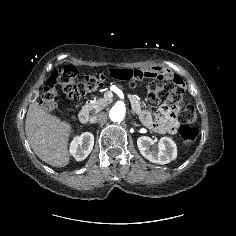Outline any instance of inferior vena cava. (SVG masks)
Returning <instances> with one entry per match:
<instances>
[{"mask_svg": "<svg viewBox=\"0 0 236 236\" xmlns=\"http://www.w3.org/2000/svg\"><path fill=\"white\" fill-rule=\"evenodd\" d=\"M102 118H103V114L99 113V114L92 116L90 118V123H96V122L100 121Z\"/></svg>", "mask_w": 236, "mask_h": 236, "instance_id": "602c4592", "label": "inferior vena cava"}]
</instances>
